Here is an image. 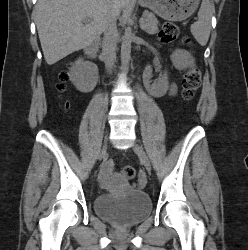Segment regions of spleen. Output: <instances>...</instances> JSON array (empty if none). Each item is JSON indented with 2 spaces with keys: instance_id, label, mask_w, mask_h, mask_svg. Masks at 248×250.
<instances>
[{
  "instance_id": "1",
  "label": "spleen",
  "mask_w": 248,
  "mask_h": 250,
  "mask_svg": "<svg viewBox=\"0 0 248 250\" xmlns=\"http://www.w3.org/2000/svg\"><path fill=\"white\" fill-rule=\"evenodd\" d=\"M212 13L213 5L210 1L202 0L198 11V21L193 23L190 27L192 35L201 46L206 45L208 42L211 30Z\"/></svg>"
}]
</instances>
